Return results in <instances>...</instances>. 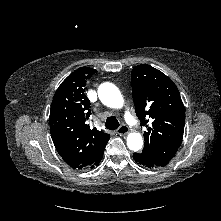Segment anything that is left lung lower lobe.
<instances>
[{
    "label": "left lung lower lobe",
    "mask_w": 221,
    "mask_h": 221,
    "mask_svg": "<svg viewBox=\"0 0 221 221\" xmlns=\"http://www.w3.org/2000/svg\"><path fill=\"white\" fill-rule=\"evenodd\" d=\"M133 158L135 161H137L139 164L148 167V168H156L161 167L153 163L148 157L143 155L142 153H134Z\"/></svg>",
    "instance_id": "0a47b994"
}]
</instances>
